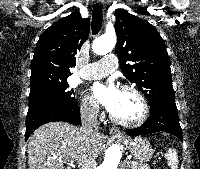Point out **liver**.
Masks as SVG:
<instances>
[{
	"label": "liver",
	"instance_id": "6515ba94",
	"mask_svg": "<svg viewBox=\"0 0 200 169\" xmlns=\"http://www.w3.org/2000/svg\"><path fill=\"white\" fill-rule=\"evenodd\" d=\"M104 142V136L98 133L87 147L80 128L66 122L46 123L29 138V169H64L65 161L82 167L85 158L99 156Z\"/></svg>",
	"mask_w": 200,
	"mask_h": 169
}]
</instances>
